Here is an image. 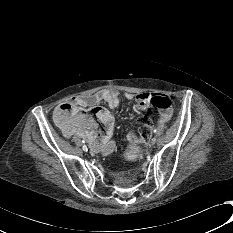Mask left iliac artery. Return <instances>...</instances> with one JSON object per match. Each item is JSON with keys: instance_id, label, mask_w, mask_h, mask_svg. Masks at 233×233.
Here are the masks:
<instances>
[{"instance_id": "44dca946", "label": "left iliac artery", "mask_w": 233, "mask_h": 233, "mask_svg": "<svg viewBox=\"0 0 233 233\" xmlns=\"http://www.w3.org/2000/svg\"><path fill=\"white\" fill-rule=\"evenodd\" d=\"M154 133H157V129H154V131H153Z\"/></svg>"}]
</instances>
